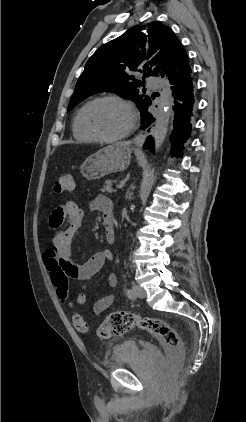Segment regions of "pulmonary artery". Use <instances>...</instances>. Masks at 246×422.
Segmentation results:
<instances>
[{
	"mask_svg": "<svg viewBox=\"0 0 246 422\" xmlns=\"http://www.w3.org/2000/svg\"><path fill=\"white\" fill-rule=\"evenodd\" d=\"M146 81H147V84H148V86H149L150 88L157 89V88H159V87H160V82H159V80H158L156 77H154V76H149V77L146 79Z\"/></svg>",
	"mask_w": 246,
	"mask_h": 422,
	"instance_id": "pulmonary-artery-1",
	"label": "pulmonary artery"
}]
</instances>
